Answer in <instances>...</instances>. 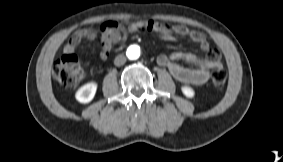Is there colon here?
Listing matches in <instances>:
<instances>
[{"mask_svg":"<svg viewBox=\"0 0 283 162\" xmlns=\"http://www.w3.org/2000/svg\"><path fill=\"white\" fill-rule=\"evenodd\" d=\"M82 66L74 54H65L54 65L53 74L58 82L65 88L74 87L82 76ZM227 79V72L219 67L213 71L212 84L217 90H221Z\"/></svg>","mask_w":283,"mask_h":162,"instance_id":"5ec220e1","label":"colon"}]
</instances>
